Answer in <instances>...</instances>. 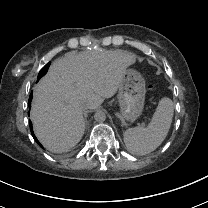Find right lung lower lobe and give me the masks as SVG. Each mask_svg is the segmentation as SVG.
<instances>
[{
	"label": "right lung lower lobe",
	"mask_w": 208,
	"mask_h": 208,
	"mask_svg": "<svg viewBox=\"0 0 208 208\" xmlns=\"http://www.w3.org/2000/svg\"><path fill=\"white\" fill-rule=\"evenodd\" d=\"M49 65H50V62H48V63L45 65V66H46V72H47V70H48V68H49ZM31 100H32V93L30 94L29 101H28L29 107H30V105H31ZM28 114H29V113H28ZM29 123H30V130H31V133H32L33 138H34L35 141L38 143V145H39L41 148H43V146L39 143V141L37 140V138L35 137V135H34V133H33L31 121H29Z\"/></svg>",
	"instance_id": "right-lung-lower-lobe-1"
}]
</instances>
